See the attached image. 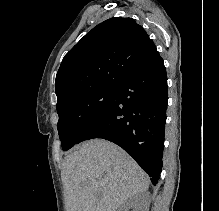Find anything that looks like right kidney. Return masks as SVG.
Listing matches in <instances>:
<instances>
[{
    "instance_id": "obj_1",
    "label": "right kidney",
    "mask_w": 219,
    "mask_h": 211,
    "mask_svg": "<svg viewBox=\"0 0 219 211\" xmlns=\"http://www.w3.org/2000/svg\"><path fill=\"white\" fill-rule=\"evenodd\" d=\"M139 195H134L131 199L126 201L125 205H123L121 211H126V209H130V207H135V203L138 201ZM141 201V199H139ZM143 201H145L146 205H149V197H144Z\"/></svg>"
}]
</instances>
